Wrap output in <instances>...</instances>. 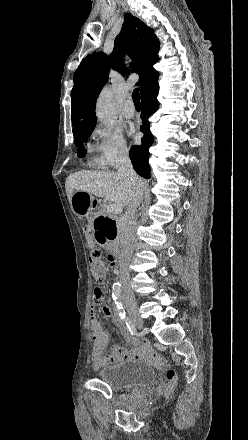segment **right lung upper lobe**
Masks as SVG:
<instances>
[{
  "label": "right lung upper lobe",
  "instance_id": "right-lung-upper-lobe-1",
  "mask_svg": "<svg viewBox=\"0 0 248 440\" xmlns=\"http://www.w3.org/2000/svg\"><path fill=\"white\" fill-rule=\"evenodd\" d=\"M124 18L111 56L108 58L104 53L94 52L81 61L74 73V87L71 91L73 135L94 129L97 120L96 97L108 79L110 67L125 74L124 52L132 60V72L140 76L137 84L140 86L141 97L159 87V73L153 68L159 60V41L153 29L129 13Z\"/></svg>",
  "mask_w": 248,
  "mask_h": 440
}]
</instances>
